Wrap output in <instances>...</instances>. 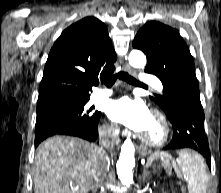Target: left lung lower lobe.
<instances>
[{
    "instance_id": "1",
    "label": "left lung lower lobe",
    "mask_w": 221,
    "mask_h": 193,
    "mask_svg": "<svg viewBox=\"0 0 221 193\" xmlns=\"http://www.w3.org/2000/svg\"><path fill=\"white\" fill-rule=\"evenodd\" d=\"M167 93L170 96L169 120L173 125L174 135L165 149H193L206 158V163L211 168V154L204 130V111L200 102L199 87L180 85Z\"/></svg>"
}]
</instances>
